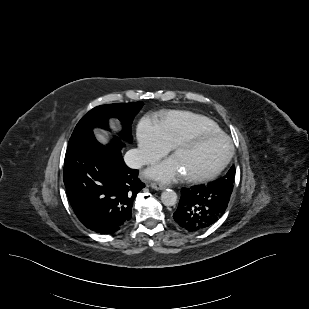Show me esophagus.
<instances>
[{"mask_svg":"<svg viewBox=\"0 0 309 309\" xmlns=\"http://www.w3.org/2000/svg\"><path fill=\"white\" fill-rule=\"evenodd\" d=\"M150 187L152 189H155V190H163L166 188V186L162 183H158V182H153L150 184Z\"/></svg>","mask_w":309,"mask_h":309,"instance_id":"1","label":"esophagus"}]
</instances>
